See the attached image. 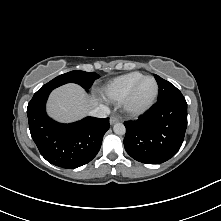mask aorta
I'll return each instance as SVG.
<instances>
[{
  "label": "aorta",
  "instance_id": "762f6f07",
  "mask_svg": "<svg viewBox=\"0 0 221 221\" xmlns=\"http://www.w3.org/2000/svg\"><path fill=\"white\" fill-rule=\"evenodd\" d=\"M114 133L117 135H124L126 132V128L123 123H116L113 126Z\"/></svg>",
  "mask_w": 221,
  "mask_h": 221
}]
</instances>
